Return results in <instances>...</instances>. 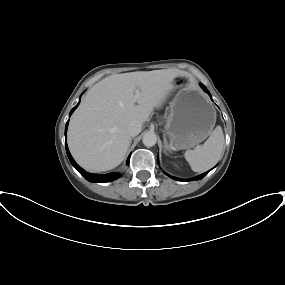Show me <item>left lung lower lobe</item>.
Segmentation results:
<instances>
[{
	"label": "left lung lower lobe",
	"instance_id": "obj_1",
	"mask_svg": "<svg viewBox=\"0 0 285 285\" xmlns=\"http://www.w3.org/2000/svg\"><path fill=\"white\" fill-rule=\"evenodd\" d=\"M201 87L204 89V91H206L210 95L209 91L207 90V88L204 85L201 84ZM208 172L209 171L199 175L198 177L195 178V180L202 179ZM171 178H173L174 180H179V181H190V180H181V179H178V178H175V177H171ZM192 180H194V179H192Z\"/></svg>",
	"mask_w": 285,
	"mask_h": 285
}]
</instances>
